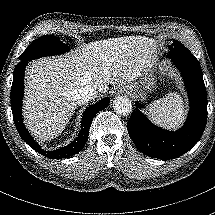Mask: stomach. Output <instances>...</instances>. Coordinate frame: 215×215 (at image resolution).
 Masks as SVG:
<instances>
[{"mask_svg": "<svg viewBox=\"0 0 215 215\" xmlns=\"http://www.w3.org/2000/svg\"><path fill=\"white\" fill-rule=\"evenodd\" d=\"M156 53H154V58L148 60L147 64L143 67V72H145V74L147 75L148 73H151L154 69V64H155V58H156ZM153 78V75L151 74L145 81L148 87H150V80ZM116 90H126L127 93H129V91L132 90H136V87H134L132 84L127 85L125 83H122L118 89ZM144 94V92H143Z\"/></svg>", "mask_w": 215, "mask_h": 215, "instance_id": "obj_1", "label": "stomach"}]
</instances>
